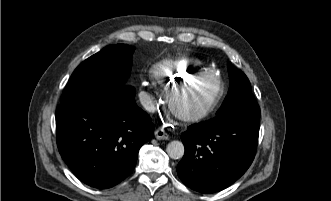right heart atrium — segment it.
Listing matches in <instances>:
<instances>
[{"label": "right heart atrium", "instance_id": "obj_1", "mask_svg": "<svg viewBox=\"0 0 331 201\" xmlns=\"http://www.w3.org/2000/svg\"><path fill=\"white\" fill-rule=\"evenodd\" d=\"M140 97L142 99V105L146 109H154L158 105L159 92L156 90V86L150 81H143L139 85Z\"/></svg>", "mask_w": 331, "mask_h": 201}]
</instances>
